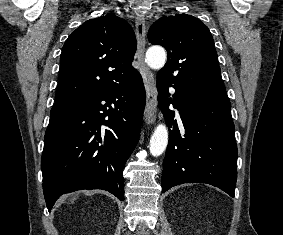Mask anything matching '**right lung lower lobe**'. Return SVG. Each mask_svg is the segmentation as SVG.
Returning <instances> with one entry per match:
<instances>
[{
    "label": "right lung lower lobe",
    "instance_id": "right-lung-lower-lobe-1",
    "mask_svg": "<svg viewBox=\"0 0 283 235\" xmlns=\"http://www.w3.org/2000/svg\"><path fill=\"white\" fill-rule=\"evenodd\" d=\"M145 101L138 73L50 117L41 158L49 211L60 195L79 189H103L124 200L122 172L138 142Z\"/></svg>",
    "mask_w": 283,
    "mask_h": 235
}]
</instances>
